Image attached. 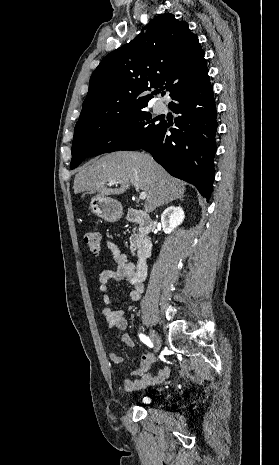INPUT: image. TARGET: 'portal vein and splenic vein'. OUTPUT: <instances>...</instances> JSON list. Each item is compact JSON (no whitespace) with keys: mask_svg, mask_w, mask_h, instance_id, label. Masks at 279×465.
Instances as JSON below:
<instances>
[{"mask_svg":"<svg viewBox=\"0 0 279 465\" xmlns=\"http://www.w3.org/2000/svg\"><path fill=\"white\" fill-rule=\"evenodd\" d=\"M115 183H116V182H115L114 180H111V181H109L108 185L111 186V185H114ZM134 187H135L136 191L139 192V186H138V184L135 183V184H134ZM146 197H147V194H146L145 192H140L139 198H140L141 200H145Z\"/></svg>","mask_w":279,"mask_h":465,"instance_id":"obj_1","label":"portal vein and splenic vein"}]
</instances>
